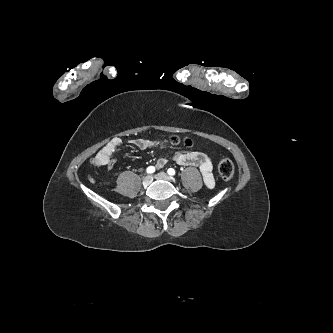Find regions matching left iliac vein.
<instances>
[{
    "mask_svg": "<svg viewBox=\"0 0 333 333\" xmlns=\"http://www.w3.org/2000/svg\"><path fill=\"white\" fill-rule=\"evenodd\" d=\"M155 177L157 179H161V180H167V181L172 180V177L169 176L168 174H166L165 172H160V173L156 174Z\"/></svg>",
    "mask_w": 333,
    "mask_h": 333,
    "instance_id": "left-iliac-vein-1",
    "label": "left iliac vein"
}]
</instances>
